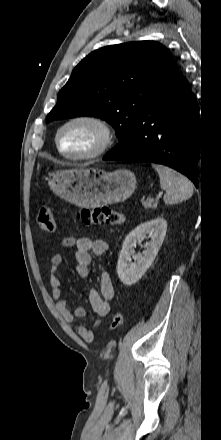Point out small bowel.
Returning a JSON list of instances; mask_svg holds the SVG:
<instances>
[{"instance_id": "1", "label": "small bowel", "mask_w": 221, "mask_h": 440, "mask_svg": "<svg viewBox=\"0 0 221 440\" xmlns=\"http://www.w3.org/2000/svg\"><path fill=\"white\" fill-rule=\"evenodd\" d=\"M75 247L76 272L81 277L90 275V264L92 261L91 254L96 256L103 255L108 245L104 240H91L88 237H67L64 238L58 248ZM63 262L62 255L57 252V248L53 250L50 256L49 282L51 285V296L56 300V310L68 323L74 322L76 319L85 317L86 311L83 307L77 306L74 310L68 307L67 300L64 297L61 282L57 276L58 269ZM114 296L113 283L107 272L100 275L99 291L91 289L89 291V302L95 315L99 318L106 317L111 310L109 301ZM100 321L97 320L92 328L79 326L77 328L78 335L86 342H92L95 338V332Z\"/></svg>"}]
</instances>
